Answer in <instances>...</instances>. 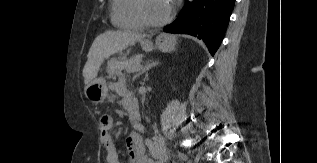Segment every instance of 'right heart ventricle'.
Wrapping results in <instances>:
<instances>
[{
  "label": "right heart ventricle",
  "mask_w": 317,
  "mask_h": 163,
  "mask_svg": "<svg viewBox=\"0 0 317 163\" xmlns=\"http://www.w3.org/2000/svg\"><path fill=\"white\" fill-rule=\"evenodd\" d=\"M111 20L122 29H143L146 25L139 19L136 11V0H112Z\"/></svg>",
  "instance_id": "right-heart-ventricle-1"
}]
</instances>
